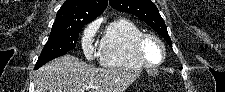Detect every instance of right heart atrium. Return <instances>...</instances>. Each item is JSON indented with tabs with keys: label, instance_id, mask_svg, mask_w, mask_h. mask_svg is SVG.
Segmentation results:
<instances>
[{
	"label": "right heart atrium",
	"instance_id": "1",
	"mask_svg": "<svg viewBox=\"0 0 225 92\" xmlns=\"http://www.w3.org/2000/svg\"><path fill=\"white\" fill-rule=\"evenodd\" d=\"M97 30L98 24L96 22H92L83 29L81 35L82 51L88 60H92L95 57L97 51L96 46L94 44Z\"/></svg>",
	"mask_w": 225,
	"mask_h": 92
}]
</instances>
